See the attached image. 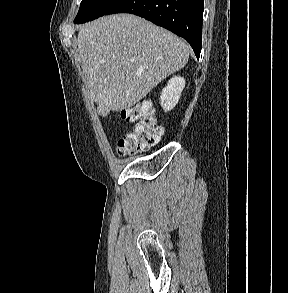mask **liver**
<instances>
[{"instance_id": "obj_1", "label": "liver", "mask_w": 288, "mask_h": 293, "mask_svg": "<svg viewBox=\"0 0 288 293\" xmlns=\"http://www.w3.org/2000/svg\"><path fill=\"white\" fill-rule=\"evenodd\" d=\"M77 44L84 83L101 116L132 107L189 59L183 39L132 14L83 25Z\"/></svg>"}]
</instances>
